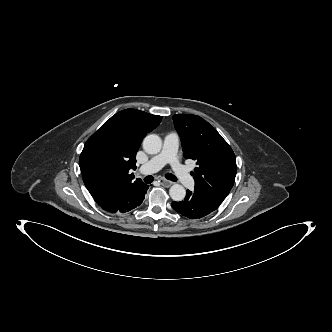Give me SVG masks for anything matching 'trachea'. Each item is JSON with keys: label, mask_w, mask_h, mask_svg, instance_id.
Masks as SVG:
<instances>
[{"label": "trachea", "mask_w": 332, "mask_h": 332, "mask_svg": "<svg viewBox=\"0 0 332 332\" xmlns=\"http://www.w3.org/2000/svg\"><path fill=\"white\" fill-rule=\"evenodd\" d=\"M165 177H166L168 180H171V181H177L176 176L173 175V174H171V173H167V174L165 175ZM153 180H154V178H153V176H151V175H148V176H146V177L144 178V181H145V183H147V184L152 183Z\"/></svg>", "instance_id": "trachea-1"}]
</instances>
